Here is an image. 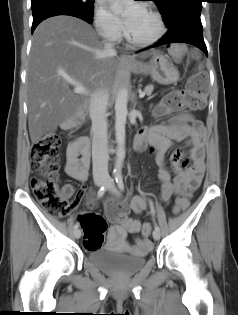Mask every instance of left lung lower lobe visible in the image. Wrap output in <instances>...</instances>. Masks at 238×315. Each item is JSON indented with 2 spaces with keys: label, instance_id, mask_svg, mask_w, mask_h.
Returning a JSON list of instances; mask_svg holds the SVG:
<instances>
[{
  "label": "left lung lower lobe",
  "instance_id": "left-lung-lower-lobe-1",
  "mask_svg": "<svg viewBox=\"0 0 238 315\" xmlns=\"http://www.w3.org/2000/svg\"><path fill=\"white\" fill-rule=\"evenodd\" d=\"M201 11L191 10L179 15L173 23L167 25V33L156 44L143 50L170 43H187L201 49L208 56L202 34Z\"/></svg>",
  "mask_w": 238,
  "mask_h": 315
}]
</instances>
